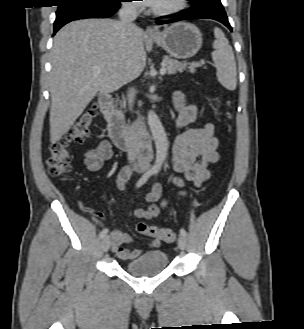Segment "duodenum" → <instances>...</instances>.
<instances>
[{
    "mask_svg": "<svg viewBox=\"0 0 304 329\" xmlns=\"http://www.w3.org/2000/svg\"><path fill=\"white\" fill-rule=\"evenodd\" d=\"M99 104L108 122L109 136L116 147L130 150L147 139V134L140 122L136 124V130L126 126L124 117L114 107L111 95L107 93L100 94Z\"/></svg>",
    "mask_w": 304,
    "mask_h": 329,
    "instance_id": "1",
    "label": "duodenum"
}]
</instances>
